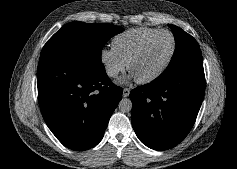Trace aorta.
Here are the masks:
<instances>
[{"label":"aorta","mask_w":237,"mask_h":169,"mask_svg":"<svg viewBox=\"0 0 237 169\" xmlns=\"http://www.w3.org/2000/svg\"><path fill=\"white\" fill-rule=\"evenodd\" d=\"M118 109L122 113H128L132 110V102L128 98H123L118 104Z\"/></svg>","instance_id":"aorta-1"}]
</instances>
